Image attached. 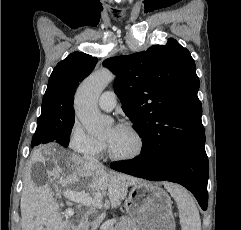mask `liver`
Instances as JSON below:
<instances>
[{
    "instance_id": "1",
    "label": "liver",
    "mask_w": 241,
    "mask_h": 230,
    "mask_svg": "<svg viewBox=\"0 0 241 230\" xmlns=\"http://www.w3.org/2000/svg\"><path fill=\"white\" fill-rule=\"evenodd\" d=\"M38 164L46 172L48 181L57 179L61 187L79 184L83 193L92 200H101L107 190L111 206L116 208L126 198L128 186L141 180L116 172L108 173L103 165H91L76 154L60 152L50 146L35 149L31 153L30 166ZM25 177L21 194L22 230H65L66 224L59 213V205L48 184L37 186L31 177ZM66 195L78 193L67 190Z\"/></svg>"
}]
</instances>
